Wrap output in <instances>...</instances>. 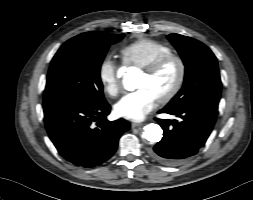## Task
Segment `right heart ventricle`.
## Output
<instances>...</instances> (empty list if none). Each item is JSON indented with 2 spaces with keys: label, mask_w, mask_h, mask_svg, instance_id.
<instances>
[{
  "label": "right heart ventricle",
  "mask_w": 253,
  "mask_h": 200,
  "mask_svg": "<svg viewBox=\"0 0 253 200\" xmlns=\"http://www.w3.org/2000/svg\"><path fill=\"white\" fill-rule=\"evenodd\" d=\"M168 54H172V49L153 39L137 40L121 50L124 64L137 68H144L153 61Z\"/></svg>",
  "instance_id": "right-heart-ventricle-1"
}]
</instances>
